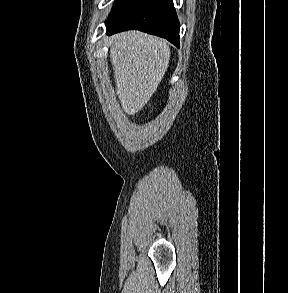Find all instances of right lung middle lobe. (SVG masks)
I'll list each match as a JSON object with an SVG mask.
<instances>
[{
  "label": "right lung middle lobe",
  "mask_w": 288,
  "mask_h": 293,
  "mask_svg": "<svg viewBox=\"0 0 288 293\" xmlns=\"http://www.w3.org/2000/svg\"><path fill=\"white\" fill-rule=\"evenodd\" d=\"M130 0H116L115 5L108 16V19H111L116 13H118Z\"/></svg>",
  "instance_id": "right-lung-middle-lobe-1"
}]
</instances>
